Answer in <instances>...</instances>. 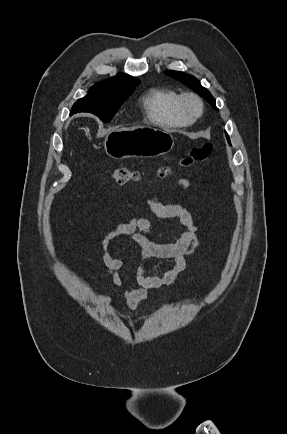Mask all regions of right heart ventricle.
Wrapping results in <instances>:
<instances>
[{
  "instance_id": "1",
  "label": "right heart ventricle",
  "mask_w": 287,
  "mask_h": 434,
  "mask_svg": "<svg viewBox=\"0 0 287 434\" xmlns=\"http://www.w3.org/2000/svg\"><path fill=\"white\" fill-rule=\"evenodd\" d=\"M179 94L171 89L153 88L144 99L148 118L160 125L186 126L190 124L179 110Z\"/></svg>"
}]
</instances>
